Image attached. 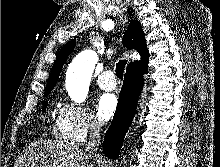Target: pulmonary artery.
I'll return each instance as SVG.
<instances>
[{"instance_id":"e3ab8cb5","label":"pulmonary artery","mask_w":220,"mask_h":167,"mask_svg":"<svg viewBox=\"0 0 220 167\" xmlns=\"http://www.w3.org/2000/svg\"><path fill=\"white\" fill-rule=\"evenodd\" d=\"M98 86L105 91H112L116 88V79L113 71L107 70L97 77Z\"/></svg>"}]
</instances>
